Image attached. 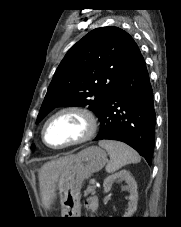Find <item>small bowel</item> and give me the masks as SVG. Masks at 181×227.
I'll return each mask as SVG.
<instances>
[{"instance_id":"small-bowel-1","label":"small bowel","mask_w":181,"mask_h":227,"mask_svg":"<svg viewBox=\"0 0 181 227\" xmlns=\"http://www.w3.org/2000/svg\"><path fill=\"white\" fill-rule=\"evenodd\" d=\"M86 208L89 210V212L94 215L98 212L99 203L98 199L96 197H90L85 202Z\"/></svg>"}]
</instances>
